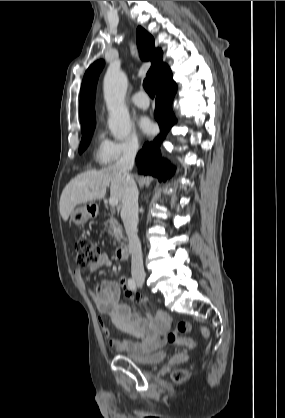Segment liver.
<instances>
[{"label":"liver","instance_id":"1","mask_svg":"<svg viewBox=\"0 0 285 418\" xmlns=\"http://www.w3.org/2000/svg\"><path fill=\"white\" fill-rule=\"evenodd\" d=\"M124 179L114 165L77 175L62 191L59 203L62 219L67 221L77 205L102 199L109 185L110 198L122 200Z\"/></svg>","mask_w":285,"mask_h":418}]
</instances>
